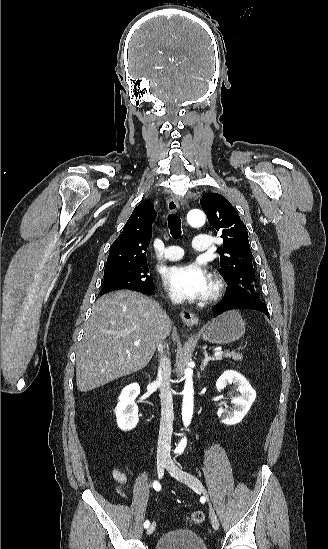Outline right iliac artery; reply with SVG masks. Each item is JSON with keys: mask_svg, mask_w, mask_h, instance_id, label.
I'll list each match as a JSON object with an SVG mask.
<instances>
[{"mask_svg": "<svg viewBox=\"0 0 328 549\" xmlns=\"http://www.w3.org/2000/svg\"><path fill=\"white\" fill-rule=\"evenodd\" d=\"M153 488L156 490V491H160L161 490V485L158 481H154L153 483ZM150 525L149 521L146 520L145 523H144V528H148Z\"/></svg>", "mask_w": 328, "mask_h": 549, "instance_id": "82829eb1", "label": "right iliac artery"}]
</instances>
